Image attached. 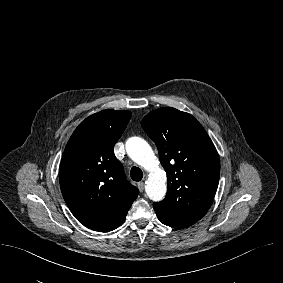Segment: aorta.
Wrapping results in <instances>:
<instances>
[{"label":"aorta","instance_id":"1","mask_svg":"<svg viewBox=\"0 0 283 283\" xmlns=\"http://www.w3.org/2000/svg\"><path fill=\"white\" fill-rule=\"evenodd\" d=\"M126 151L135 163L150 173L145 185L148 197L155 202L161 201L167 191L166 174L159 168L150 145L142 138L131 137L126 141Z\"/></svg>","mask_w":283,"mask_h":283}]
</instances>
